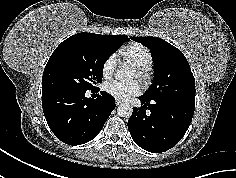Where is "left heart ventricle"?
I'll return each mask as SVG.
<instances>
[{
	"mask_svg": "<svg viewBox=\"0 0 236 178\" xmlns=\"http://www.w3.org/2000/svg\"><path fill=\"white\" fill-rule=\"evenodd\" d=\"M132 76H133V77H136V70H135V69L133 70Z\"/></svg>",
	"mask_w": 236,
	"mask_h": 178,
	"instance_id": "left-heart-ventricle-1",
	"label": "left heart ventricle"
}]
</instances>
